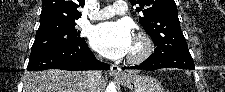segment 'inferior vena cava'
I'll return each instance as SVG.
<instances>
[{
    "mask_svg": "<svg viewBox=\"0 0 225 92\" xmlns=\"http://www.w3.org/2000/svg\"><path fill=\"white\" fill-rule=\"evenodd\" d=\"M101 77V72L95 71L91 72L88 76V84L91 92H97V86L99 84V79Z\"/></svg>",
    "mask_w": 225,
    "mask_h": 92,
    "instance_id": "1",
    "label": "inferior vena cava"
}]
</instances>
